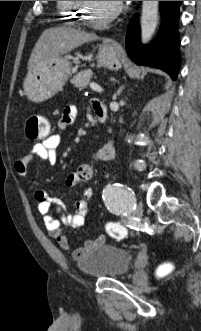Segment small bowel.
<instances>
[{"mask_svg": "<svg viewBox=\"0 0 201 331\" xmlns=\"http://www.w3.org/2000/svg\"><path fill=\"white\" fill-rule=\"evenodd\" d=\"M92 108L96 112L105 106L94 101ZM77 116V108L75 106H67L62 112V116L58 122L60 132L64 131L69 125L73 124ZM60 135L54 134L45 140L34 144L30 151L17 159L14 163L15 170L20 175H26L29 163L34 159H40L49 165H54L58 158V147L60 144ZM115 156L113 142L110 140L96 152V159L100 161H110ZM93 168L89 164L79 166L76 172L68 175L66 185L75 187L83 185L91 181L93 177ZM37 202V210L43 217L45 226L50 236L56 243L65 251H68L75 260L81 259L90 249L100 245L103 240L97 238L95 240L85 241L82 247H73L67 235L63 232L62 226L68 228H79L85 223V217L88 211V202L93 197V191L89 187H83L81 199L75 203L74 212H69L66 205L57 198L50 197L44 190L37 189L34 193ZM54 212L59 218L54 216Z\"/></svg>", "mask_w": 201, "mask_h": 331, "instance_id": "small-bowel-1", "label": "small bowel"}]
</instances>
